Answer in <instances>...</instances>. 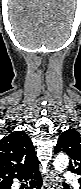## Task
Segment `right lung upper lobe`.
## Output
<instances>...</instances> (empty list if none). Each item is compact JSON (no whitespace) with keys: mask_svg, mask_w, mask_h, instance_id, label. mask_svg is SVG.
Segmentation results:
<instances>
[{"mask_svg":"<svg viewBox=\"0 0 81 189\" xmlns=\"http://www.w3.org/2000/svg\"><path fill=\"white\" fill-rule=\"evenodd\" d=\"M38 166L33 143L23 131L0 140V186L12 182Z\"/></svg>","mask_w":81,"mask_h":189,"instance_id":"right-lung-upper-lobe-1","label":"right lung upper lobe"}]
</instances>
